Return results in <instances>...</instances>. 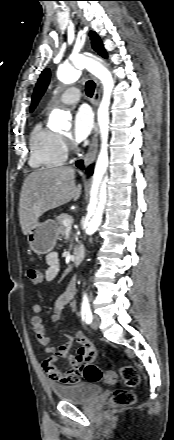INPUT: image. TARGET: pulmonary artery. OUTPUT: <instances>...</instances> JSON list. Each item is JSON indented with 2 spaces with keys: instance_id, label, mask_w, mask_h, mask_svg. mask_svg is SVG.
<instances>
[{
  "instance_id": "pulmonary-artery-1",
  "label": "pulmonary artery",
  "mask_w": 174,
  "mask_h": 440,
  "mask_svg": "<svg viewBox=\"0 0 174 440\" xmlns=\"http://www.w3.org/2000/svg\"><path fill=\"white\" fill-rule=\"evenodd\" d=\"M80 97V89L76 87H71L60 96L59 102L63 104H73L79 101Z\"/></svg>"
}]
</instances>
